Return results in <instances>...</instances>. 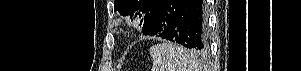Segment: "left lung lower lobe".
<instances>
[{
	"instance_id": "1",
	"label": "left lung lower lobe",
	"mask_w": 301,
	"mask_h": 71,
	"mask_svg": "<svg viewBox=\"0 0 301 71\" xmlns=\"http://www.w3.org/2000/svg\"><path fill=\"white\" fill-rule=\"evenodd\" d=\"M144 35L159 36L184 47L204 51L207 14L204 0H160L144 21Z\"/></svg>"
}]
</instances>
